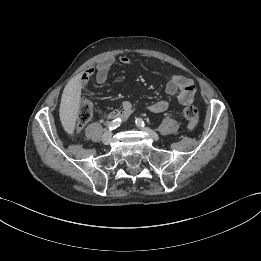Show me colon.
I'll return each instance as SVG.
<instances>
[{
  "instance_id": "colon-1",
  "label": "colon",
  "mask_w": 261,
  "mask_h": 261,
  "mask_svg": "<svg viewBox=\"0 0 261 261\" xmlns=\"http://www.w3.org/2000/svg\"><path fill=\"white\" fill-rule=\"evenodd\" d=\"M183 116L187 121V127L189 130H193L198 123V111L192 106L188 105L183 109ZM93 115V104L90 100L85 99L79 105L77 110L76 123L78 127L84 126Z\"/></svg>"
}]
</instances>
